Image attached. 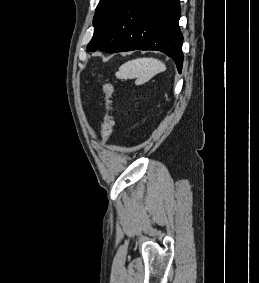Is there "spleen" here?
Listing matches in <instances>:
<instances>
[{"instance_id": "1", "label": "spleen", "mask_w": 259, "mask_h": 283, "mask_svg": "<svg viewBox=\"0 0 259 283\" xmlns=\"http://www.w3.org/2000/svg\"><path fill=\"white\" fill-rule=\"evenodd\" d=\"M163 62L155 58H137L123 64L116 76L121 79L137 78L138 83H145L154 75L165 71Z\"/></svg>"}]
</instances>
